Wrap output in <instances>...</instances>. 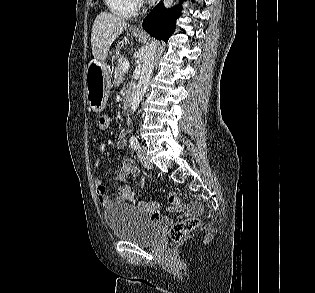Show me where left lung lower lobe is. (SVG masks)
Wrapping results in <instances>:
<instances>
[{"label":"left lung lower lobe","mask_w":315,"mask_h":293,"mask_svg":"<svg viewBox=\"0 0 315 293\" xmlns=\"http://www.w3.org/2000/svg\"><path fill=\"white\" fill-rule=\"evenodd\" d=\"M180 12L181 4L173 9H165L162 4H159L144 19L143 28L152 36L167 42L175 29V21Z\"/></svg>","instance_id":"obj_1"}]
</instances>
